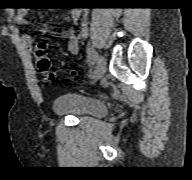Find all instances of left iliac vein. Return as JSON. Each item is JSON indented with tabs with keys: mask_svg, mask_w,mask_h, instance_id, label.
<instances>
[{
	"mask_svg": "<svg viewBox=\"0 0 192 180\" xmlns=\"http://www.w3.org/2000/svg\"><path fill=\"white\" fill-rule=\"evenodd\" d=\"M105 70H106V61L105 58L100 55L97 58L96 68L94 70L92 79L98 80L105 73Z\"/></svg>",
	"mask_w": 192,
	"mask_h": 180,
	"instance_id": "left-iliac-vein-1",
	"label": "left iliac vein"
}]
</instances>
